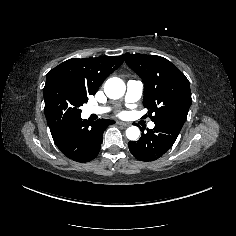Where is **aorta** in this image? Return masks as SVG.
<instances>
[{
  "mask_svg": "<svg viewBox=\"0 0 236 236\" xmlns=\"http://www.w3.org/2000/svg\"><path fill=\"white\" fill-rule=\"evenodd\" d=\"M104 91L110 99H119L125 93V84L121 79L113 77L106 81ZM126 136L129 140H137L140 136L139 128L137 126L127 128Z\"/></svg>",
  "mask_w": 236,
  "mask_h": 236,
  "instance_id": "1",
  "label": "aorta"
}]
</instances>
